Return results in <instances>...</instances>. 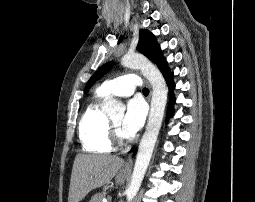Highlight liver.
Here are the masks:
<instances>
[{"mask_svg": "<svg viewBox=\"0 0 255 202\" xmlns=\"http://www.w3.org/2000/svg\"><path fill=\"white\" fill-rule=\"evenodd\" d=\"M123 163L116 156L78 154L73 163L68 202H80L91 190L108 183Z\"/></svg>", "mask_w": 255, "mask_h": 202, "instance_id": "1", "label": "liver"}]
</instances>
